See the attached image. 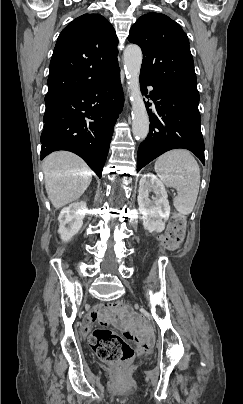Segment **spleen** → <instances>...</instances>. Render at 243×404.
<instances>
[{"label":"spleen","instance_id":"3e777b00","mask_svg":"<svg viewBox=\"0 0 243 404\" xmlns=\"http://www.w3.org/2000/svg\"><path fill=\"white\" fill-rule=\"evenodd\" d=\"M154 170L168 188H175L178 196L173 206L182 216H189L194 210L200 188L199 166L188 150H171L160 156Z\"/></svg>","mask_w":243,"mask_h":404}]
</instances>
